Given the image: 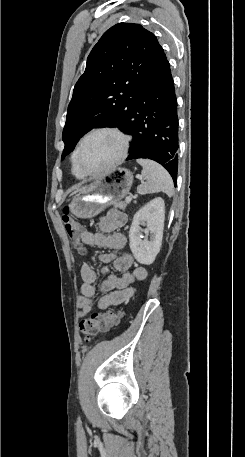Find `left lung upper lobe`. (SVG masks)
<instances>
[{"instance_id": "obj_1", "label": "left lung upper lobe", "mask_w": 245, "mask_h": 457, "mask_svg": "<svg viewBox=\"0 0 245 457\" xmlns=\"http://www.w3.org/2000/svg\"><path fill=\"white\" fill-rule=\"evenodd\" d=\"M160 49L155 35L139 24L118 23L103 34L73 90L62 134V159L91 129L109 122L120 127L129 121L144 97Z\"/></svg>"}]
</instances>
